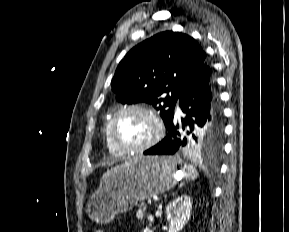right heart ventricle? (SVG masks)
<instances>
[{
  "label": "right heart ventricle",
  "instance_id": "e07e8e85",
  "mask_svg": "<svg viewBox=\"0 0 289 232\" xmlns=\"http://www.w3.org/2000/svg\"><path fill=\"white\" fill-rule=\"evenodd\" d=\"M111 119V118H110ZM110 119H108L104 125V141L106 144V147L108 149V151L113 154V155H122L123 153L121 151H119L111 142L110 137H109V123H110Z\"/></svg>",
  "mask_w": 289,
  "mask_h": 232
}]
</instances>
